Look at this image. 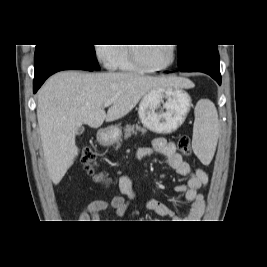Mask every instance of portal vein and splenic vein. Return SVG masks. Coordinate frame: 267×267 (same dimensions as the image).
<instances>
[{
  "instance_id": "obj_1",
  "label": "portal vein and splenic vein",
  "mask_w": 267,
  "mask_h": 267,
  "mask_svg": "<svg viewBox=\"0 0 267 267\" xmlns=\"http://www.w3.org/2000/svg\"><path fill=\"white\" fill-rule=\"evenodd\" d=\"M112 103H113V101H106L104 103V107H109Z\"/></svg>"
}]
</instances>
